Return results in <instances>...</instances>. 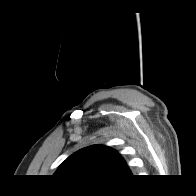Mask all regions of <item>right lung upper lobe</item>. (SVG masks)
Wrapping results in <instances>:
<instances>
[{"instance_id": "cb5924a9", "label": "right lung upper lobe", "mask_w": 196, "mask_h": 196, "mask_svg": "<svg viewBox=\"0 0 196 196\" xmlns=\"http://www.w3.org/2000/svg\"><path fill=\"white\" fill-rule=\"evenodd\" d=\"M54 175L103 181L129 177L131 172L116 150L104 145H93L69 156Z\"/></svg>"}]
</instances>
